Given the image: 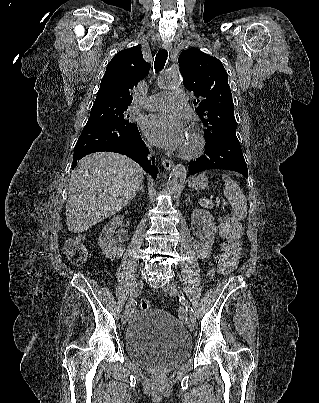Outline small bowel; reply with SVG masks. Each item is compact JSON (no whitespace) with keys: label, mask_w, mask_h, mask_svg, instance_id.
<instances>
[{"label":"small bowel","mask_w":319,"mask_h":403,"mask_svg":"<svg viewBox=\"0 0 319 403\" xmlns=\"http://www.w3.org/2000/svg\"><path fill=\"white\" fill-rule=\"evenodd\" d=\"M213 272H214L213 269H211V270H210V274H213Z\"/></svg>","instance_id":"obj_1"}]
</instances>
